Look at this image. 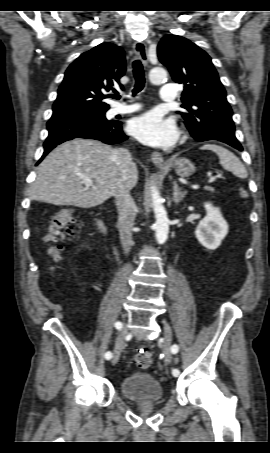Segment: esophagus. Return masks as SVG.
<instances>
[{
  "label": "esophagus",
  "instance_id": "obj_1",
  "mask_svg": "<svg viewBox=\"0 0 270 453\" xmlns=\"http://www.w3.org/2000/svg\"><path fill=\"white\" fill-rule=\"evenodd\" d=\"M133 49L135 54L140 58V60L144 63H148V54H147V47L144 42L142 41H137L133 45ZM151 160L154 163L155 166L157 167H163L165 166L164 159L162 155L158 152H152L151 153Z\"/></svg>",
  "mask_w": 270,
  "mask_h": 453
}]
</instances>
